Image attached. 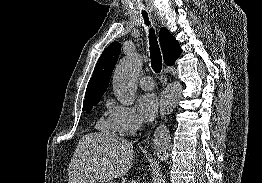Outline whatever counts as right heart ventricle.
Masks as SVG:
<instances>
[{"label":"right heart ventricle","mask_w":262,"mask_h":183,"mask_svg":"<svg viewBox=\"0 0 262 183\" xmlns=\"http://www.w3.org/2000/svg\"><path fill=\"white\" fill-rule=\"evenodd\" d=\"M97 128L105 131V132H109V133H113L116 132L113 128V126L111 125L109 118L104 119V118H100L98 123H97Z\"/></svg>","instance_id":"right-heart-ventricle-1"}]
</instances>
